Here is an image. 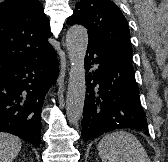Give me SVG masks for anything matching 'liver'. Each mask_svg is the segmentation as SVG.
Returning <instances> with one entry per match:
<instances>
[{
	"label": "liver",
	"mask_w": 168,
	"mask_h": 162,
	"mask_svg": "<svg viewBox=\"0 0 168 162\" xmlns=\"http://www.w3.org/2000/svg\"><path fill=\"white\" fill-rule=\"evenodd\" d=\"M21 140L15 135L0 132V162H12L21 150Z\"/></svg>",
	"instance_id": "1"
}]
</instances>
